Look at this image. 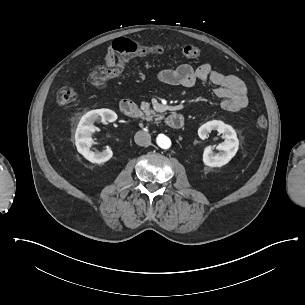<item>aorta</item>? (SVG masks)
<instances>
[{
    "mask_svg": "<svg viewBox=\"0 0 305 305\" xmlns=\"http://www.w3.org/2000/svg\"><path fill=\"white\" fill-rule=\"evenodd\" d=\"M156 142H157L158 146L162 149H168L171 146L170 138L164 134L158 135L156 138Z\"/></svg>",
    "mask_w": 305,
    "mask_h": 305,
    "instance_id": "1",
    "label": "aorta"
}]
</instances>
